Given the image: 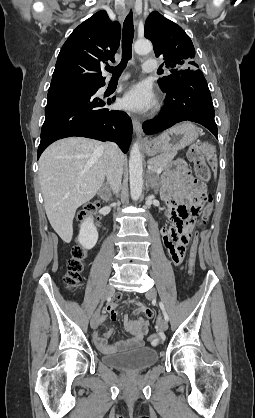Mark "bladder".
Masks as SVG:
<instances>
[{
    "label": "bladder",
    "instance_id": "bladder-1",
    "mask_svg": "<svg viewBox=\"0 0 255 418\" xmlns=\"http://www.w3.org/2000/svg\"><path fill=\"white\" fill-rule=\"evenodd\" d=\"M158 358L157 350L145 346H136L124 352L104 355L102 360L111 367L135 372L155 364Z\"/></svg>",
    "mask_w": 255,
    "mask_h": 418
}]
</instances>
